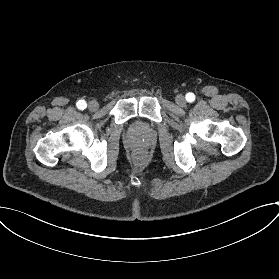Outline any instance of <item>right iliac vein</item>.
<instances>
[{
	"label": "right iliac vein",
	"instance_id": "63e3f726",
	"mask_svg": "<svg viewBox=\"0 0 279 279\" xmlns=\"http://www.w3.org/2000/svg\"><path fill=\"white\" fill-rule=\"evenodd\" d=\"M99 108V103L95 100H92L88 103V109L90 111H96Z\"/></svg>",
	"mask_w": 279,
	"mask_h": 279
}]
</instances>
